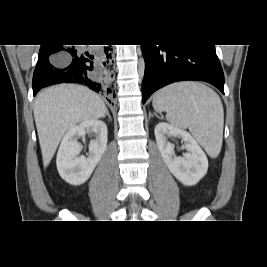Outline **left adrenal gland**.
<instances>
[{
    "mask_svg": "<svg viewBox=\"0 0 267 267\" xmlns=\"http://www.w3.org/2000/svg\"><path fill=\"white\" fill-rule=\"evenodd\" d=\"M151 116H153L151 113H149V118L151 117Z\"/></svg>",
    "mask_w": 267,
    "mask_h": 267,
    "instance_id": "a2214340",
    "label": "left adrenal gland"
}]
</instances>
